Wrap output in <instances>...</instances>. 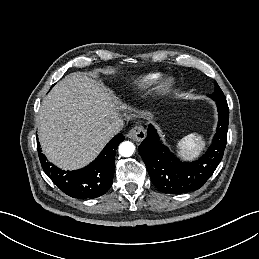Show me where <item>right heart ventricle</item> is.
I'll return each mask as SVG.
<instances>
[{"instance_id":"1","label":"right heart ventricle","mask_w":259,"mask_h":259,"mask_svg":"<svg viewBox=\"0 0 259 259\" xmlns=\"http://www.w3.org/2000/svg\"><path fill=\"white\" fill-rule=\"evenodd\" d=\"M159 77L160 75L157 73H150L143 75L138 82L141 87H149L154 84L159 79Z\"/></svg>"}]
</instances>
